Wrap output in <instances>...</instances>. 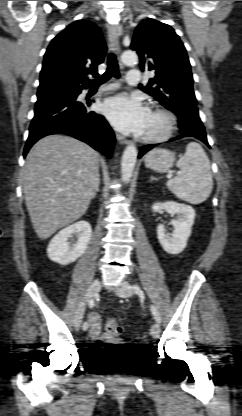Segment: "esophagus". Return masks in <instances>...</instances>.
Here are the masks:
<instances>
[{
    "label": "esophagus",
    "mask_w": 242,
    "mask_h": 416,
    "mask_svg": "<svg viewBox=\"0 0 242 416\" xmlns=\"http://www.w3.org/2000/svg\"><path fill=\"white\" fill-rule=\"evenodd\" d=\"M108 36H109V40H110V42L113 46V49L115 50L116 53H119L120 45H119L117 27L115 25H109L108 26ZM116 138L121 144H130V140L124 138L120 134H116Z\"/></svg>",
    "instance_id": "esophagus-1"
}]
</instances>
